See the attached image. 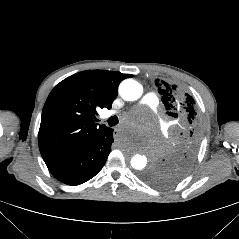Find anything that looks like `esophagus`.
<instances>
[{"instance_id": "1", "label": "esophagus", "mask_w": 239, "mask_h": 239, "mask_svg": "<svg viewBox=\"0 0 239 239\" xmlns=\"http://www.w3.org/2000/svg\"><path fill=\"white\" fill-rule=\"evenodd\" d=\"M112 137H113V139H115V140L121 139V137H122L121 131H120L119 129H114V130L112 131Z\"/></svg>"}]
</instances>
